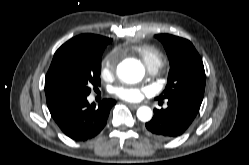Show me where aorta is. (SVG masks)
<instances>
[{"label": "aorta", "mask_w": 249, "mask_h": 165, "mask_svg": "<svg viewBox=\"0 0 249 165\" xmlns=\"http://www.w3.org/2000/svg\"><path fill=\"white\" fill-rule=\"evenodd\" d=\"M117 74L127 83H136L143 78L144 68L139 61L127 59L118 65ZM137 117L139 120L147 122L152 118V110L147 106H142L137 110Z\"/></svg>", "instance_id": "1"}]
</instances>
